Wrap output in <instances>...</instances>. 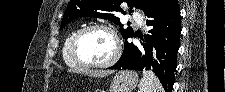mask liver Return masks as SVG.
Segmentation results:
<instances>
[{"mask_svg":"<svg viewBox=\"0 0 225 92\" xmlns=\"http://www.w3.org/2000/svg\"><path fill=\"white\" fill-rule=\"evenodd\" d=\"M71 72V70L69 71ZM113 71H105V70H83L81 71L82 74L88 75L90 77H106L107 75L111 74Z\"/></svg>","mask_w":225,"mask_h":92,"instance_id":"obj_1","label":"liver"}]
</instances>
